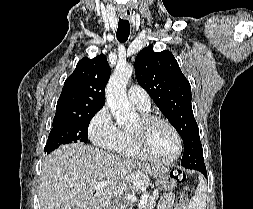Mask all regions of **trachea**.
I'll return each mask as SVG.
<instances>
[{
	"label": "trachea",
	"instance_id": "1",
	"mask_svg": "<svg viewBox=\"0 0 253 209\" xmlns=\"http://www.w3.org/2000/svg\"><path fill=\"white\" fill-rule=\"evenodd\" d=\"M130 33V25L129 21L126 19L119 18L118 22V29H117V40L121 43H124L127 41Z\"/></svg>",
	"mask_w": 253,
	"mask_h": 209
}]
</instances>
